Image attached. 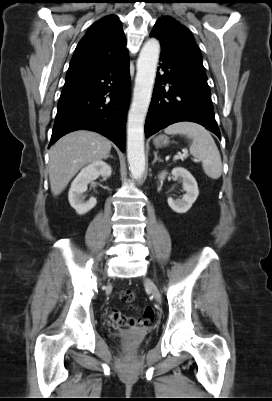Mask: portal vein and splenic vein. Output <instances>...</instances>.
<instances>
[{"mask_svg":"<svg viewBox=\"0 0 272 401\" xmlns=\"http://www.w3.org/2000/svg\"><path fill=\"white\" fill-rule=\"evenodd\" d=\"M187 153L184 152L183 154H179L178 156H176V159H183L184 157H186ZM195 162H200L199 159H193Z\"/></svg>","mask_w":272,"mask_h":401,"instance_id":"1","label":"portal vein and splenic vein"}]
</instances>
